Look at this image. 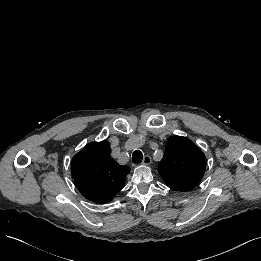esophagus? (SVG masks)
Returning a JSON list of instances; mask_svg holds the SVG:
<instances>
[{
    "label": "esophagus",
    "mask_w": 261,
    "mask_h": 261,
    "mask_svg": "<svg viewBox=\"0 0 261 261\" xmlns=\"http://www.w3.org/2000/svg\"><path fill=\"white\" fill-rule=\"evenodd\" d=\"M151 162H152V159H151V157L150 156H148V155H146L145 157H144V159H143V165H149V164H151Z\"/></svg>",
    "instance_id": "34e87169"
}]
</instances>
